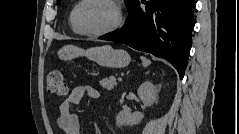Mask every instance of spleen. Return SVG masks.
<instances>
[{
  "label": "spleen",
  "mask_w": 239,
  "mask_h": 134,
  "mask_svg": "<svg viewBox=\"0 0 239 134\" xmlns=\"http://www.w3.org/2000/svg\"><path fill=\"white\" fill-rule=\"evenodd\" d=\"M141 59H142L143 66L146 67V66H149L151 64V61L146 59L145 57H141Z\"/></svg>",
  "instance_id": "1"
}]
</instances>
